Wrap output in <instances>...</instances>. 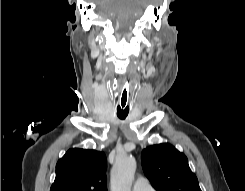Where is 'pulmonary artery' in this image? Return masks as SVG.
I'll list each match as a JSON object with an SVG mask.
<instances>
[{"label":"pulmonary artery","mask_w":245,"mask_h":191,"mask_svg":"<svg viewBox=\"0 0 245 191\" xmlns=\"http://www.w3.org/2000/svg\"><path fill=\"white\" fill-rule=\"evenodd\" d=\"M132 191H155L154 188L144 178L135 181Z\"/></svg>","instance_id":"e3ab8cb5"}]
</instances>
